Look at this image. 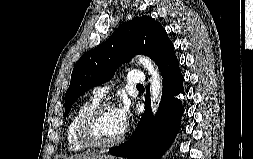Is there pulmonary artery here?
<instances>
[{
    "label": "pulmonary artery",
    "instance_id": "e3ab8cb5",
    "mask_svg": "<svg viewBox=\"0 0 253 159\" xmlns=\"http://www.w3.org/2000/svg\"><path fill=\"white\" fill-rule=\"evenodd\" d=\"M145 82V76L142 70L130 71L126 77V83L128 85L139 86ZM110 90L107 86H97L93 89L94 95L99 98H104Z\"/></svg>",
    "mask_w": 253,
    "mask_h": 159
}]
</instances>
